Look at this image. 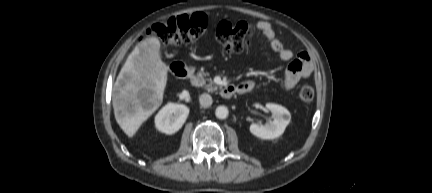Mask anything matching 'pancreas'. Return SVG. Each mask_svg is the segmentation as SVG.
Listing matches in <instances>:
<instances>
[{
  "label": "pancreas",
  "mask_w": 432,
  "mask_h": 193,
  "mask_svg": "<svg viewBox=\"0 0 432 193\" xmlns=\"http://www.w3.org/2000/svg\"><path fill=\"white\" fill-rule=\"evenodd\" d=\"M205 74L199 72L196 77L193 78L192 83L197 87H204L209 92H214L217 90V85H215L212 81V79H205ZM206 81L209 83L207 84Z\"/></svg>",
  "instance_id": "pancreas-1"
}]
</instances>
